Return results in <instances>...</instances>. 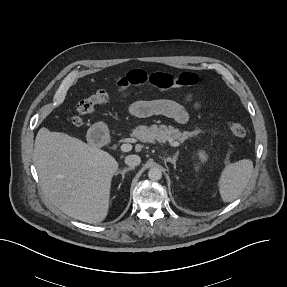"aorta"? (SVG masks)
<instances>
[{
	"label": "aorta",
	"mask_w": 287,
	"mask_h": 287,
	"mask_svg": "<svg viewBox=\"0 0 287 287\" xmlns=\"http://www.w3.org/2000/svg\"><path fill=\"white\" fill-rule=\"evenodd\" d=\"M148 177L152 181H158L162 177V172H161V170L159 168H151L148 171Z\"/></svg>",
	"instance_id": "762f6f07"
}]
</instances>
